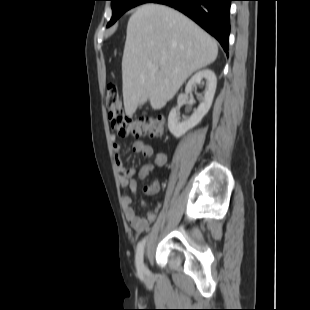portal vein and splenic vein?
Segmentation results:
<instances>
[{
    "mask_svg": "<svg viewBox=\"0 0 310 310\" xmlns=\"http://www.w3.org/2000/svg\"><path fill=\"white\" fill-rule=\"evenodd\" d=\"M152 69H153V70H157L158 67L153 65V66H152Z\"/></svg>",
    "mask_w": 310,
    "mask_h": 310,
    "instance_id": "18ae733b",
    "label": "portal vein and splenic vein"
}]
</instances>
